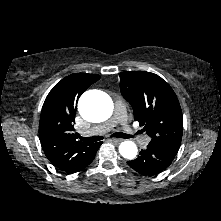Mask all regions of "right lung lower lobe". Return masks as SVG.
Returning a JSON list of instances; mask_svg holds the SVG:
<instances>
[{
	"mask_svg": "<svg viewBox=\"0 0 221 221\" xmlns=\"http://www.w3.org/2000/svg\"><path fill=\"white\" fill-rule=\"evenodd\" d=\"M101 144H102V142H98V143L94 144L91 154L87 157L86 161L84 162L83 167L80 168V170H78V171H81L82 169H84L86 166H88L93 161L96 151L98 150V148L100 147Z\"/></svg>",
	"mask_w": 221,
	"mask_h": 221,
	"instance_id": "right-lung-lower-lobe-1",
	"label": "right lung lower lobe"
}]
</instances>
